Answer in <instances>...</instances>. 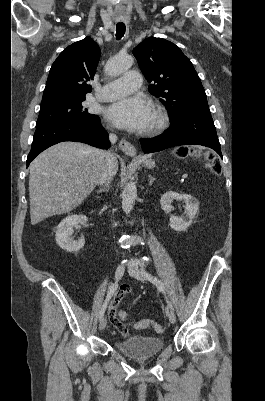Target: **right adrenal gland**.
<instances>
[{"mask_svg":"<svg viewBox=\"0 0 265 401\" xmlns=\"http://www.w3.org/2000/svg\"><path fill=\"white\" fill-rule=\"evenodd\" d=\"M108 190H109V182H107L106 186H103V188L97 190V192H108Z\"/></svg>","mask_w":265,"mask_h":401,"instance_id":"1","label":"right adrenal gland"}]
</instances>
